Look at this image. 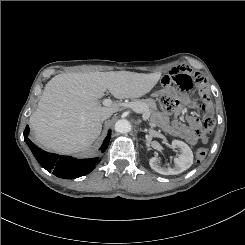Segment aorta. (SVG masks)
<instances>
[{"label": "aorta", "mask_w": 245, "mask_h": 245, "mask_svg": "<svg viewBox=\"0 0 245 245\" xmlns=\"http://www.w3.org/2000/svg\"><path fill=\"white\" fill-rule=\"evenodd\" d=\"M115 131L118 133H128L131 130V124L128 120L120 119L115 123Z\"/></svg>", "instance_id": "obj_1"}]
</instances>
